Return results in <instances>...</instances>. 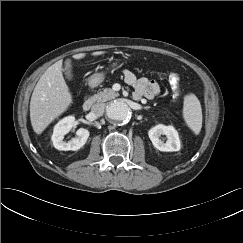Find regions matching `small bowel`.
<instances>
[{
	"instance_id": "small-bowel-1",
	"label": "small bowel",
	"mask_w": 243,
	"mask_h": 243,
	"mask_svg": "<svg viewBox=\"0 0 243 243\" xmlns=\"http://www.w3.org/2000/svg\"><path fill=\"white\" fill-rule=\"evenodd\" d=\"M124 80L134 88V97L152 99L160 93V85L155 80H149L145 77H137L133 72L125 70L123 72Z\"/></svg>"
}]
</instances>
